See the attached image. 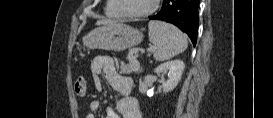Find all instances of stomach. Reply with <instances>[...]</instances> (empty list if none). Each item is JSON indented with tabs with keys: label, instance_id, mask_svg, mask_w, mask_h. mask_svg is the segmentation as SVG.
Masks as SVG:
<instances>
[{
	"label": "stomach",
	"instance_id": "stomach-1",
	"mask_svg": "<svg viewBox=\"0 0 273 118\" xmlns=\"http://www.w3.org/2000/svg\"><path fill=\"white\" fill-rule=\"evenodd\" d=\"M143 40V34L136 28L113 22L98 27L83 37V44L90 49L121 51L136 46Z\"/></svg>",
	"mask_w": 273,
	"mask_h": 118
}]
</instances>
